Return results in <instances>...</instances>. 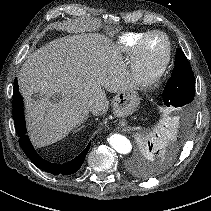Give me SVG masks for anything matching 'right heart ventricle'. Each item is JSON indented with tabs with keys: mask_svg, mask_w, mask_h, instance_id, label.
Returning <instances> with one entry per match:
<instances>
[{
	"mask_svg": "<svg viewBox=\"0 0 211 211\" xmlns=\"http://www.w3.org/2000/svg\"><path fill=\"white\" fill-rule=\"evenodd\" d=\"M147 31L142 32H127L120 36L117 48L127 57H133L134 49L137 42L143 37Z\"/></svg>",
	"mask_w": 211,
	"mask_h": 211,
	"instance_id": "right-heart-ventricle-1",
	"label": "right heart ventricle"
}]
</instances>
